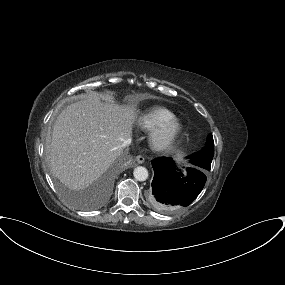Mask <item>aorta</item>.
<instances>
[{
	"label": "aorta",
	"mask_w": 285,
	"mask_h": 285,
	"mask_svg": "<svg viewBox=\"0 0 285 285\" xmlns=\"http://www.w3.org/2000/svg\"><path fill=\"white\" fill-rule=\"evenodd\" d=\"M133 175L137 181H145L148 178V170L143 166H138L134 169Z\"/></svg>",
	"instance_id": "obj_1"
}]
</instances>
